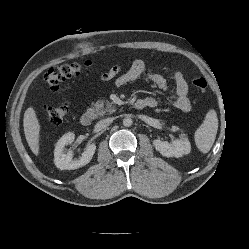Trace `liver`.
Instances as JSON below:
<instances>
[{"instance_id": "6515ba94", "label": "liver", "mask_w": 249, "mask_h": 249, "mask_svg": "<svg viewBox=\"0 0 249 249\" xmlns=\"http://www.w3.org/2000/svg\"><path fill=\"white\" fill-rule=\"evenodd\" d=\"M24 133L31 151L37 156L39 154L40 124L33 107H29L24 113Z\"/></svg>"}]
</instances>
